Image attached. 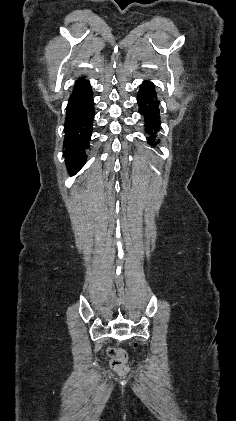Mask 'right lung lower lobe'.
I'll list each match as a JSON object with an SVG mask.
<instances>
[{"label": "right lung lower lobe", "instance_id": "1", "mask_svg": "<svg viewBox=\"0 0 236 421\" xmlns=\"http://www.w3.org/2000/svg\"><path fill=\"white\" fill-rule=\"evenodd\" d=\"M93 93L84 78L78 79L69 97L65 117L64 157L68 171L74 175L86 162V149L94 119Z\"/></svg>", "mask_w": 236, "mask_h": 421}]
</instances>
